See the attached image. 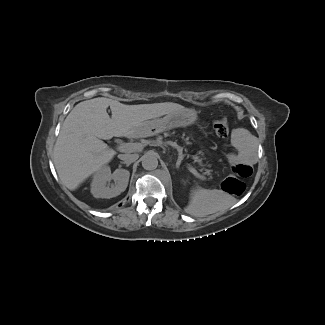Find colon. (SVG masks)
Returning a JSON list of instances; mask_svg holds the SVG:
<instances>
[{
    "label": "colon",
    "instance_id": "obj_1",
    "mask_svg": "<svg viewBox=\"0 0 325 325\" xmlns=\"http://www.w3.org/2000/svg\"><path fill=\"white\" fill-rule=\"evenodd\" d=\"M214 130L216 134L223 140L229 136L228 124L224 120L214 122ZM252 173V168L249 165L239 164L233 168V172L225 178L221 186L225 192L233 195H240L245 190L244 179Z\"/></svg>",
    "mask_w": 325,
    "mask_h": 325
}]
</instances>
